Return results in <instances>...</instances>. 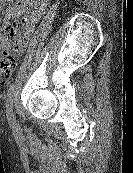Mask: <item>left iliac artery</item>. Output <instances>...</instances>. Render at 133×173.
I'll list each match as a JSON object with an SVG mask.
<instances>
[{"mask_svg":"<svg viewBox=\"0 0 133 173\" xmlns=\"http://www.w3.org/2000/svg\"><path fill=\"white\" fill-rule=\"evenodd\" d=\"M13 95H14V85L11 84L7 91V98H6V112L9 115L12 112L13 108ZM11 120V118H9ZM11 122H14L13 120Z\"/></svg>","mask_w":133,"mask_h":173,"instance_id":"obj_1","label":"left iliac artery"}]
</instances>
